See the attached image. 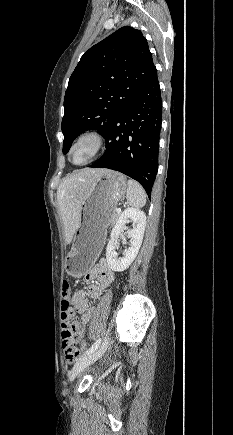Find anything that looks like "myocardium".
<instances>
[{"instance_id": "1", "label": "myocardium", "mask_w": 233, "mask_h": 435, "mask_svg": "<svg viewBox=\"0 0 233 435\" xmlns=\"http://www.w3.org/2000/svg\"><path fill=\"white\" fill-rule=\"evenodd\" d=\"M103 135L101 134V132H99L98 130L95 129H89V130H84L81 133L78 134V136L74 139V141L71 143L68 153H67V157L69 162L74 165V166H85L89 163H91L99 154L102 145H103ZM88 145L90 148V154L87 157L86 160H84L83 162L80 163H75L72 161L71 159V155L72 152L75 148H77L78 146L81 145Z\"/></svg>"}]
</instances>
